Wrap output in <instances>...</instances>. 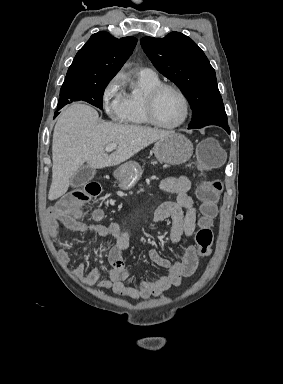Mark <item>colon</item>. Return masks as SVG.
Returning a JSON list of instances; mask_svg holds the SVG:
<instances>
[{"label": "colon", "instance_id": "obj_1", "mask_svg": "<svg viewBox=\"0 0 283 384\" xmlns=\"http://www.w3.org/2000/svg\"><path fill=\"white\" fill-rule=\"evenodd\" d=\"M224 160V153L218 142L213 138L201 141L197 148V162L201 170H211L220 166ZM223 191V183L218 180L204 181L197 188V198L200 202L199 229L195 235V242L199 254L209 255L213 242V232L211 229L213 219L217 214V202ZM101 192L98 183L91 182L85 186L75 189L64 196L57 205L60 211L80 215L84 206L92 199L96 198ZM94 217L99 218L100 214Z\"/></svg>", "mask_w": 283, "mask_h": 384}]
</instances>
